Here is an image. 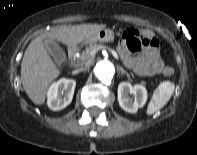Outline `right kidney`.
I'll list each match as a JSON object with an SVG mask.
<instances>
[{
  "mask_svg": "<svg viewBox=\"0 0 197 155\" xmlns=\"http://www.w3.org/2000/svg\"><path fill=\"white\" fill-rule=\"evenodd\" d=\"M76 81L62 78L53 83L48 90V107L58 111L69 105L73 99Z\"/></svg>",
  "mask_w": 197,
  "mask_h": 155,
  "instance_id": "ca27d5eb",
  "label": "right kidney"
}]
</instances>
